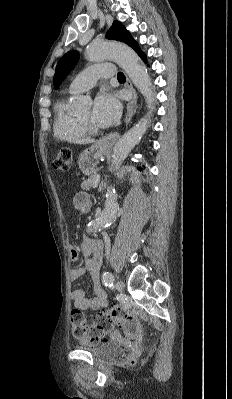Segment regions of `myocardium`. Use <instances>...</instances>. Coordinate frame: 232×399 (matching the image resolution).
Wrapping results in <instances>:
<instances>
[{
	"label": "myocardium",
	"mask_w": 232,
	"mask_h": 399,
	"mask_svg": "<svg viewBox=\"0 0 232 399\" xmlns=\"http://www.w3.org/2000/svg\"><path fill=\"white\" fill-rule=\"evenodd\" d=\"M77 120L79 122L80 127L82 128V130L85 132L86 135L95 137L103 133L102 129L95 128L87 120L82 119L80 117H77Z\"/></svg>",
	"instance_id": "1"
}]
</instances>
